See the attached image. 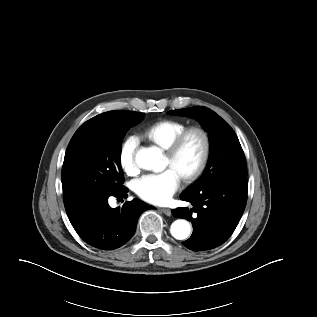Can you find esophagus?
Here are the masks:
<instances>
[{"instance_id":"esophagus-1","label":"esophagus","mask_w":317,"mask_h":317,"mask_svg":"<svg viewBox=\"0 0 317 317\" xmlns=\"http://www.w3.org/2000/svg\"><path fill=\"white\" fill-rule=\"evenodd\" d=\"M160 211L163 212L167 216H171L172 214L171 209L169 208H161Z\"/></svg>"}]
</instances>
